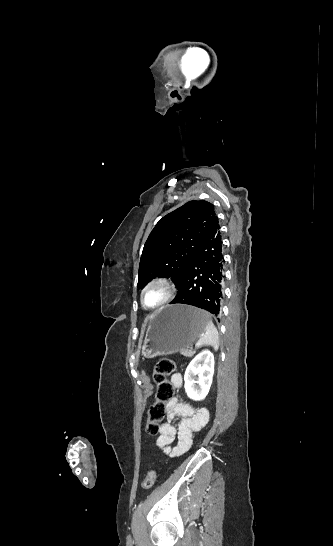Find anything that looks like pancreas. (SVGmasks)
Instances as JSON below:
<instances>
[{
	"label": "pancreas",
	"instance_id": "obj_1",
	"mask_svg": "<svg viewBox=\"0 0 333 546\" xmlns=\"http://www.w3.org/2000/svg\"><path fill=\"white\" fill-rule=\"evenodd\" d=\"M180 354L185 356V357H191L193 355V351L188 350V349H181Z\"/></svg>",
	"mask_w": 333,
	"mask_h": 546
}]
</instances>
